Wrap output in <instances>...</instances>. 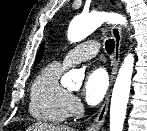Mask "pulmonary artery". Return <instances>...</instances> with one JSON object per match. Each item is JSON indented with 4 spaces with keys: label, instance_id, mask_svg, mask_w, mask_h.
Wrapping results in <instances>:
<instances>
[{
    "label": "pulmonary artery",
    "instance_id": "obj_1",
    "mask_svg": "<svg viewBox=\"0 0 147 131\" xmlns=\"http://www.w3.org/2000/svg\"><path fill=\"white\" fill-rule=\"evenodd\" d=\"M99 48V43L95 40L81 43L65 55L62 65L64 67H70L82 61L91 59L98 54Z\"/></svg>",
    "mask_w": 147,
    "mask_h": 131
}]
</instances>
